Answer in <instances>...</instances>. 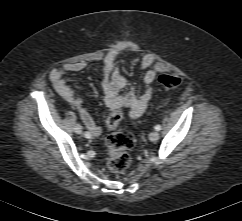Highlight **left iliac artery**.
<instances>
[{
	"mask_svg": "<svg viewBox=\"0 0 242 221\" xmlns=\"http://www.w3.org/2000/svg\"><path fill=\"white\" fill-rule=\"evenodd\" d=\"M155 130H156V131H160V130H161V126H160V125H156V126H155Z\"/></svg>",
	"mask_w": 242,
	"mask_h": 221,
	"instance_id": "left-iliac-artery-1",
	"label": "left iliac artery"
}]
</instances>
